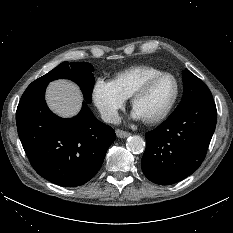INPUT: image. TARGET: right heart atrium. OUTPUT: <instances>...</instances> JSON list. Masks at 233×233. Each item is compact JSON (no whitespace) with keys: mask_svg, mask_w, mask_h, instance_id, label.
<instances>
[{"mask_svg":"<svg viewBox=\"0 0 233 233\" xmlns=\"http://www.w3.org/2000/svg\"><path fill=\"white\" fill-rule=\"evenodd\" d=\"M92 99L102 118L111 123L117 121L119 111L124 107L126 100L111 81L102 78L94 83Z\"/></svg>","mask_w":233,"mask_h":233,"instance_id":"right-heart-atrium-1","label":"right heart atrium"}]
</instances>
